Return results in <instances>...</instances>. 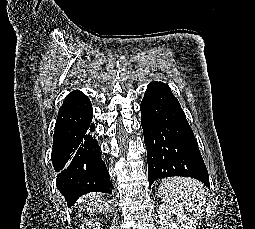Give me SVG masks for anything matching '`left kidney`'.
Segmentation results:
<instances>
[{
	"instance_id": "1",
	"label": "left kidney",
	"mask_w": 255,
	"mask_h": 229,
	"mask_svg": "<svg viewBox=\"0 0 255 229\" xmlns=\"http://www.w3.org/2000/svg\"><path fill=\"white\" fill-rule=\"evenodd\" d=\"M161 229H196L194 222L168 204H161L158 208Z\"/></svg>"
}]
</instances>
